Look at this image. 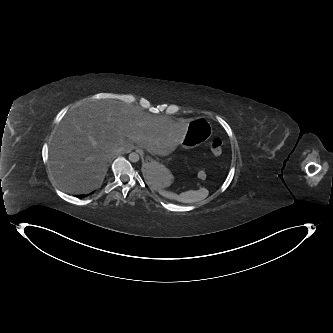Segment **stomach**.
<instances>
[{
	"label": "stomach",
	"instance_id": "stomach-1",
	"mask_svg": "<svg viewBox=\"0 0 333 333\" xmlns=\"http://www.w3.org/2000/svg\"><path fill=\"white\" fill-rule=\"evenodd\" d=\"M212 133L213 129L208 120L204 118L197 119L189 125V131L180 144L184 148L199 146L203 141L210 139ZM143 172L146 184L153 188H168L174 180L173 174L167 166L156 160L147 162Z\"/></svg>",
	"mask_w": 333,
	"mask_h": 333
}]
</instances>
